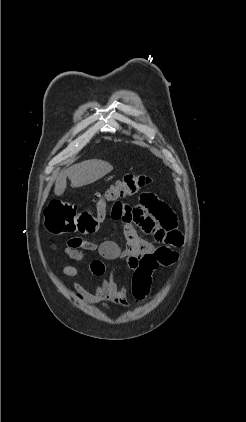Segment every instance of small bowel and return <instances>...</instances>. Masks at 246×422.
<instances>
[{"label":"small bowel","mask_w":246,"mask_h":422,"mask_svg":"<svg viewBox=\"0 0 246 422\" xmlns=\"http://www.w3.org/2000/svg\"><path fill=\"white\" fill-rule=\"evenodd\" d=\"M111 218L122 221L126 248L122 250L114 241H103L99 244L84 240L81 237H73L67 242L63 253L70 259L81 260L85 252H97L105 260H123L133 271L134 264L144 254L153 253L161 248H177L183 244V235L178 230L176 214L167 203L153 193H145L141 202L134 206L124 204L111 207ZM138 224L143 231L153 235L157 244L143 239L134 227ZM94 276L102 277L105 274V265L99 260H92L89 264ZM62 274L71 278H82V271L74 265H66L62 268ZM76 293L86 301L96 304L109 302L122 307L129 306L126 289L118 286L112 278H104L94 284L92 292L85 290L80 284H74Z\"/></svg>","instance_id":"c3829d8e"}]
</instances>
